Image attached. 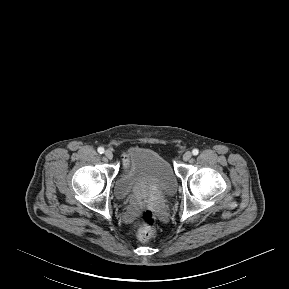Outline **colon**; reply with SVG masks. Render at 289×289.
I'll use <instances>...</instances> for the list:
<instances>
[{
    "instance_id": "obj_1",
    "label": "colon",
    "mask_w": 289,
    "mask_h": 289,
    "mask_svg": "<svg viewBox=\"0 0 289 289\" xmlns=\"http://www.w3.org/2000/svg\"><path fill=\"white\" fill-rule=\"evenodd\" d=\"M156 217L152 209L142 210L136 221L139 238L142 241H148L155 235L154 225Z\"/></svg>"
}]
</instances>
